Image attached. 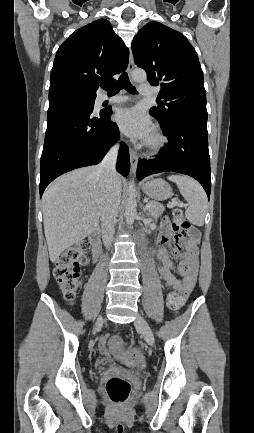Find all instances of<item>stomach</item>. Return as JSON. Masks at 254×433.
<instances>
[{
	"instance_id": "1",
	"label": "stomach",
	"mask_w": 254,
	"mask_h": 433,
	"mask_svg": "<svg viewBox=\"0 0 254 433\" xmlns=\"http://www.w3.org/2000/svg\"><path fill=\"white\" fill-rule=\"evenodd\" d=\"M142 189L147 196L159 201L166 200L172 195L170 185L162 179L147 181L143 183Z\"/></svg>"
}]
</instances>
